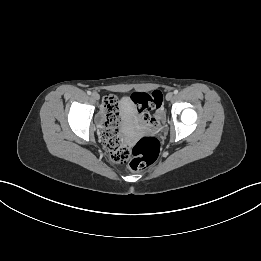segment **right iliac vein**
Here are the masks:
<instances>
[{
	"label": "right iliac vein",
	"instance_id": "obj_1",
	"mask_svg": "<svg viewBox=\"0 0 261 261\" xmlns=\"http://www.w3.org/2000/svg\"><path fill=\"white\" fill-rule=\"evenodd\" d=\"M92 98L94 100H99L100 96H99V94L97 92H94V93H92Z\"/></svg>",
	"mask_w": 261,
	"mask_h": 261
}]
</instances>
